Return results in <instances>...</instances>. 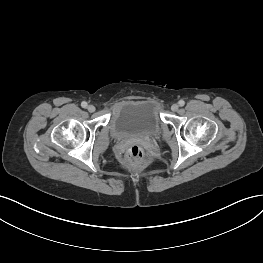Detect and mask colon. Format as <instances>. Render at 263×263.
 Returning a JSON list of instances; mask_svg holds the SVG:
<instances>
[{"mask_svg": "<svg viewBox=\"0 0 263 263\" xmlns=\"http://www.w3.org/2000/svg\"><path fill=\"white\" fill-rule=\"evenodd\" d=\"M144 150L138 144H131L125 152V162L129 167H138L144 160Z\"/></svg>", "mask_w": 263, "mask_h": 263, "instance_id": "colon-1", "label": "colon"}]
</instances>
